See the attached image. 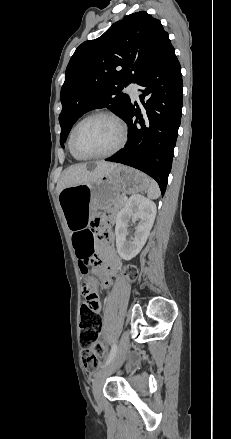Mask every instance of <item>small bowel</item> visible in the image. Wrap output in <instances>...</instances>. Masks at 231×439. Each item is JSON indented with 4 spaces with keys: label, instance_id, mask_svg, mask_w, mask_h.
Listing matches in <instances>:
<instances>
[{
    "label": "small bowel",
    "instance_id": "small-bowel-1",
    "mask_svg": "<svg viewBox=\"0 0 231 439\" xmlns=\"http://www.w3.org/2000/svg\"><path fill=\"white\" fill-rule=\"evenodd\" d=\"M111 220V217L109 218ZM100 220H97L98 225ZM113 234H109L107 240H96L94 234L89 229H74L72 232V245L81 269H86V262L95 253L102 260V270L100 273L101 285L104 289H108L112 284V277L118 271L121 261L118 258L115 248L111 243ZM86 285L89 287L86 289ZM83 291L86 296V302L83 305L92 307L96 312L101 310V303L94 289L93 282L88 280L83 285Z\"/></svg>",
    "mask_w": 231,
    "mask_h": 439
}]
</instances>
